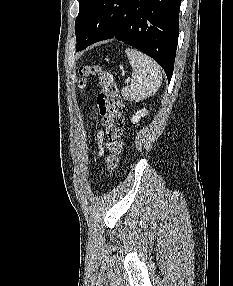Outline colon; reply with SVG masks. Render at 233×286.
<instances>
[{
    "label": "colon",
    "mask_w": 233,
    "mask_h": 286,
    "mask_svg": "<svg viewBox=\"0 0 233 286\" xmlns=\"http://www.w3.org/2000/svg\"><path fill=\"white\" fill-rule=\"evenodd\" d=\"M81 80L79 86H85V78L93 75L97 77L100 92L97 104L106 130V148L109 152L106 157V169L109 172L119 164L123 150L122 132L124 126V105L113 74L98 65H84L79 69Z\"/></svg>",
    "instance_id": "obj_1"
}]
</instances>
